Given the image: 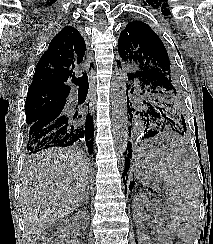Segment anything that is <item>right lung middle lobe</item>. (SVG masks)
<instances>
[{
  "instance_id": "obj_1",
  "label": "right lung middle lobe",
  "mask_w": 213,
  "mask_h": 244,
  "mask_svg": "<svg viewBox=\"0 0 213 244\" xmlns=\"http://www.w3.org/2000/svg\"><path fill=\"white\" fill-rule=\"evenodd\" d=\"M67 97L53 94H42L33 97H27L25 103L27 129L37 120L46 116L56 109H62L65 106Z\"/></svg>"
}]
</instances>
